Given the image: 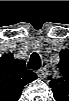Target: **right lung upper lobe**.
Returning <instances> with one entry per match:
<instances>
[{
    "instance_id": "obj_1",
    "label": "right lung upper lobe",
    "mask_w": 69,
    "mask_h": 101,
    "mask_svg": "<svg viewBox=\"0 0 69 101\" xmlns=\"http://www.w3.org/2000/svg\"><path fill=\"white\" fill-rule=\"evenodd\" d=\"M37 78V75L25 68V61L14 59L12 53L0 58L1 91L9 100H18L24 86Z\"/></svg>"
}]
</instances>
